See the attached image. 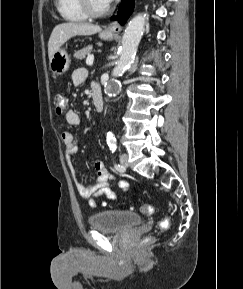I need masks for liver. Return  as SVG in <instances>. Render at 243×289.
Listing matches in <instances>:
<instances>
[{
	"mask_svg": "<svg viewBox=\"0 0 243 289\" xmlns=\"http://www.w3.org/2000/svg\"><path fill=\"white\" fill-rule=\"evenodd\" d=\"M100 31V26L90 23L67 22L55 26L48 41L49 60L53 54L72 37L93 35Z\"/></svg>",
	"mask_w": 243,
	"mask_h": 289,
	"instance_id": "6515ba94",
	"label": "liver"
}]
</instances>
